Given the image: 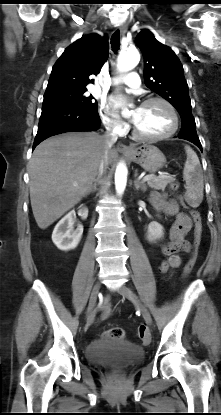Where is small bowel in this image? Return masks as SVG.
<instances>
[{"mask_svg":"<svg viewBox=\"0 0 221 415\" xmlns=\"http://www.w3.org/2000/svg\"><path fill=\"white\" fill-rule=\"evenodd\" d=\"M151 203L156 210L176 218L169 231L167 241L161 247V251L166 256V259L161 263L160 270L167 272L181 266L182 258L180 253L191 250V244L186 240V235L192 226V220L187 214L179 210L176 200L168 199L163 194H153ZM110 314V304L105 300L102 305V318L106 319Z\"/></svg>","mask_w":221,"mask_h":415,"instance_id":"c3829d8e","label":"small bowel"}]
</instances>
